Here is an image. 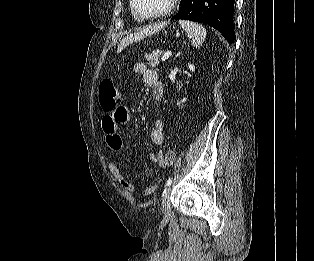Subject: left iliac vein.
<instances>
[{
	"label": "left iliac vein",
	"mask_w": 314,
	"mask_h": 261,
	"mask_svg": "<svg viewBox=\"0 0 314 261\" xmlns=\"http://www.w3.org/2000/svg\"><path fill=\"white\" fill-rule=\"evenodd\" d=\"M170 191H171V188L170 187L167 188L162 196V212L164 213L166 217L170 215V210H171Z\"/></svg>",
	"instance_id": "left-iliac-vein-1"
}]
</instances>
